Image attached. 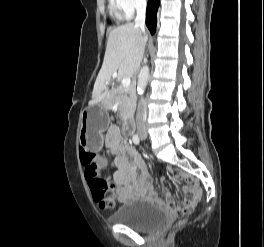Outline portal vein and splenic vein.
Returning <instances> with one entry per match:
<instances>
[{"label":"portal vein and splenic vein","instance_id":"portal-vein-and-splenic-vein-1","mask_svg":"<svg viewBox=\"0 0 264 247\" xmlns=\"http://www.w3.org/2000/svg\"><path fill=\"white\" fill-rule=\"evenodd\" d=\"M115 76H116V73L113 74V77H115ZM130 83H131L130 78H124V79H122V82H121V84L124 88L129 87Z\"/></svg>","mask_w":264,"mask_h":247}]
</instances>
